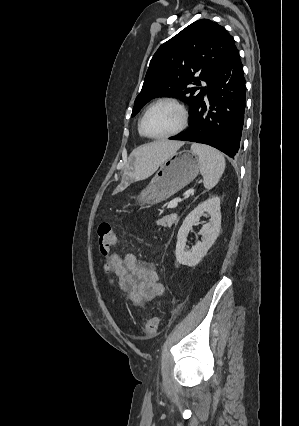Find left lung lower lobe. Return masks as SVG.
<instances>
[{"label": "left lung lower lobe", "mask_w": 299, "mask_h": 426, "mask_svg": "<svg viewBox=\"0 0 299 426\" xmlns=\"http://www.w3.org/2000/svg\"><path fill=\"white\" fill-rule=\"evenodd\" d=\"M206 93L209 105L203 100L190 118V127L169 139L207 144L233 158L239 153L246 93L237 49L218 70Z\"/></svg>", "instance_id": "left-lung-lower-lobe-1"}]
</instances>
